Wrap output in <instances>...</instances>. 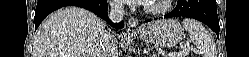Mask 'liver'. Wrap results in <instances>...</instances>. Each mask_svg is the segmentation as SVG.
I'll return each mask as SVG.
<instances>
[{"instance_id": "liver-1", "label": "liver", "mask_w": 249, "mask_h": 57, "mask_svg": "<svg viewBox=\"0 0 249 57\" xmlns=\"http://www.w3.org/2000/svg\"><path fill=\"white\" fill-rule=\"evenodd\" d=\"M104 22L80 7L60 9L35 34L33 57H103Z\"/></svg>"}]
</instances>
